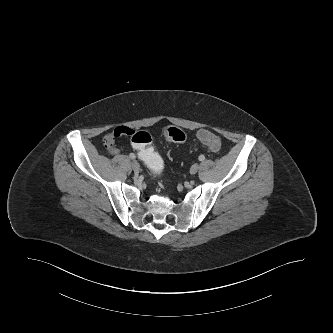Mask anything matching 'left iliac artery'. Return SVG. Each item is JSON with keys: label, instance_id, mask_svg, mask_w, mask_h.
<instances>
[{"label": "left iliac artery", "instance_id": "left-iliac-artery-1", "mask_svg": "<svg viewBox=\"0 0 333 333\" xmlns=\"http://www.w3.org/2000/svg\"><path fill=\"white\" fill-rule=\"evenodd\" d=\"M204 159H205V156H204V155H200V156H199V160H200V161H203Z\"/></svg>", "mask_w": 333, "mask_h": 333}]
</instances>
